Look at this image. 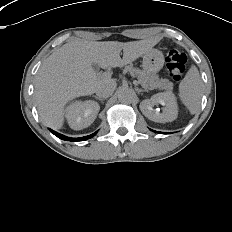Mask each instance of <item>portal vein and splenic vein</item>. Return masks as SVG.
I'll return each instance as SVG.
<instances>
[{
    "label": "portal vein and splenic vein",
    "mask_w": 232,
    "mask_h": 232,
    "mask_svg": "<svg viewBox=\"0 0 232 232\" xmlns=\"http://www.w3.org/2000/svg\"><path fill=\"white\" fill-rule=\"evenodd\" d=\"M102 76H103V77H109L110 74H109V73H104ZM144 86H146V85H144Z\"/></svg>",
    "instance_id": "portal-vein-and-splenic-vein-1"
}]
</instances>
